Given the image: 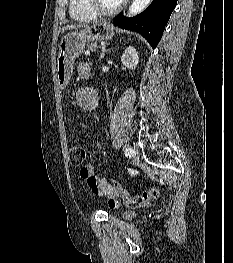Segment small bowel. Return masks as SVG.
<instances>
[{
  "label": "small bowel",
  "instance_id": "1",
  "mask_svg": "<svg viewBox=\"0 0 233 263\" xmlns=\"http://www.w3.org/2000/svg\"><path fill=\"white\" fill-rule=\"evenodd\" d=\"M79 75L82 77L85 73H90V67L87 64H81L78 68ZM91 176L95 179V182L92 184L88 181L87 176ZM80 175L83 179H85L88 183L90 190L97 195H104L110 198V206H117V202L114 200L115 197L118 196L117 192L113 189V187L102 177H98L94 174V168L91 165H86L84 168L80 170Z\"/></svg>",
  "mask_w": 233,
  "mask_h": 263
}]
</instances>
